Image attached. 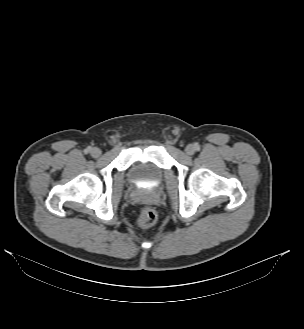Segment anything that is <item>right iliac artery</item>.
I'll use <instances>...</instances> for the list:
<instances>
[{
  "mask_svg": "<svg viewBox=\"0 0 304 329\" xmlns=\"http://www.w3.org/2000/svg\"><path fill=\"white\" fill-rule=\"evenodd\" d=\"M90 151H91V147H87V148L84 150L85 153H89Z\"/></svg>",
  "mask_w": 304,
  "mask_h": 329,
  "instance_id": "right-iliac-artery-1",
  "label": "right iliac artery"
}]
</instances>
